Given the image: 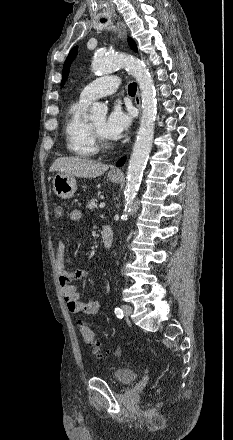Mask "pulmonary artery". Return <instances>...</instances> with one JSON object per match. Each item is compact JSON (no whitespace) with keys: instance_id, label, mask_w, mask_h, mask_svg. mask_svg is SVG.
Here are the masks:
<instances>
[{"instance_id":"pulmonary-artery-1","label":"pulmonary artery","mask_w":233,"mask_h":440,"mask_svg":"<svg viewBox=\"0 0 233 440\" xmlns=\"http://www.w3.org/2000/svg\"><path fill=\"white\" fill-rule=\"evenodd\" d=\"M120 78L116 75H107L89 83L80 93V100L91 102L99 97L115 93L120 85Z\"/></svg>"}]
</instances>
